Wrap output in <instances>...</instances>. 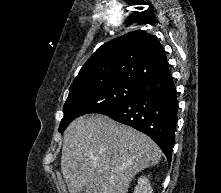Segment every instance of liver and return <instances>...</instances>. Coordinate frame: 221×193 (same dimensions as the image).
I'll return each instance as SVG.
<instances>
[{
	"label": "liver",
	"mask_w": 221,
	"mask_h": 193,
	"mask_svg": "<svg viewBox=\"0 0 221 193\" xmlns=\"http://www.w3.org/2000/svg\"><path fill=\"white\" fill-rule=\"evenodd\" d=\"M160 158V148L147 135L92 114L67 127L61 171L70 193H127L134 176Z\"/></svg>",
	"instance_id": "obj_1"
}]
</instances>
